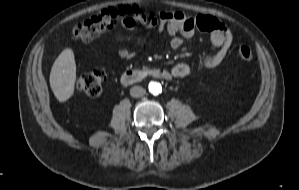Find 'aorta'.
<instances>
[{
	"mask_svg": "<svg viewBox=\"0 0 299 190\" xmlns=\"http://www.w3.org/2000/svg\"><path fill=\"white\" fill-rule=\"evenodd\" d=\"M149 91L153 94V95H158L162 92V86L160 83L157 82H150L149 83Z\"/></svg>",
	"mask_w": 299,
	"mask_h": 190,
	"instance_id": "762f6f07",
	"label": "aorta"
}]
</instances>
